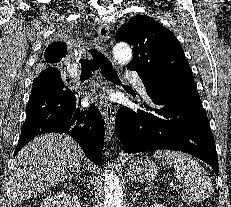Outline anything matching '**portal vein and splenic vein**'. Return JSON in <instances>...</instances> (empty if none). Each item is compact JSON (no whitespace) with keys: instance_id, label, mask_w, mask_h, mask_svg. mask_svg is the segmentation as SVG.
<instances>
[{"instance_id":"1","label":"portal vein and splenic vein","mask_w":231,"mask_h":207,"mask_svg":"<svg viewBox=\"0 0 231 207\" xmlns=\"http://www.w3.org/2000/svg\"><path fill=\"white\" fill-rule=\"evenodd\" d=\"M172 187H173V190H175V189H176V187H175V186H173V185H172Z\"/></svg>"}]
</instances>
